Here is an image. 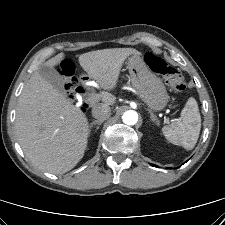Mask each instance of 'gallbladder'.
<instances>
[{"label": "gallbladder", "instance_id": "1", "mask_svg": "<svg viewBox=\"0 0 225 225\" xmlns=\"http://www.w3.org/2000/svg\"><path fill=\"white\" fill-rule=\"evenodd\" d=\"M39 74L47 80L59 92H64V80L53 67L41 65L38 69Z\"/></svg>", "mask_w": 225, "mask_h": 225}]
</instances>
